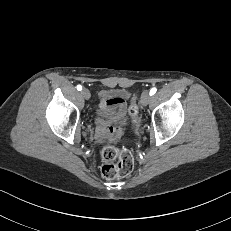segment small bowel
Here are the masks:
<instances>
[{
    "label": "small bowel",
    "instance_id": "small-bowel-1",
    "mask_svg": "<svg viewBox=\"0 0 231 231\" xmlns=\"http://www.w3.org/2000/svg\"><path fill=\"white\" fill-rule=\"evenodd\" d=\"M101 106L102 108H117L122 113L125 110L126 102L124 99L114 98L105 101ZM95 123L98 138L117 139L122 135V127L115 120L96 118Z\"/></svg>",
    "mask_w": 231,
    "mask_h": 231
}]
</instances>
